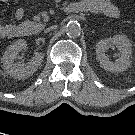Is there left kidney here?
<instances>
[{
    "label": "left kidney",
    "instance_id": "obj_1",
    "mask_svg": "<svg viewBox=\"0 0 135 135\" xmlns=\"http://www.w3.org/2000/svg\"><path fill=\"white\" fill-rule=\"evenodd\" d=\"M110 46H116L120 56L115 61H110L106 51ZM132 44L125 35H116L113 38L100 40L96 43V56L101 67L110 72H123L130 66Z\"/></svg>",
    "mask_w": 135,
    "mask_h": 135
}]
</instances>
